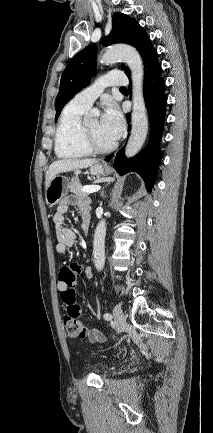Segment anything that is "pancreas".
Here are the masks:
<instances>
[{"label":"pancreas","instance_id":"pancreas-1","mask_svg":"<svg viewBox=\"0 0 213 433\" xmlns=\"http://www.w3.org/2000/svg\"><path fill=\"white\" fill-rule=\"evenodd\" d=\"M82 184L80 183L78 177H73L71 179L70 191L76 194L77 196H86L87 193L82 191Z\"/></svg>","mask_w":213,"mask_h":433}]
</instances>
